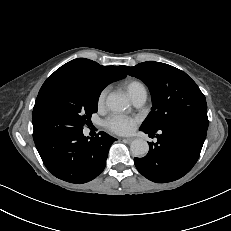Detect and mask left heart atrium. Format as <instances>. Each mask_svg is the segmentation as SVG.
<instances>
[{"instance_id":"left-heart-atrium-1","label":"left heart atrium","mask_w":231,"mask_h":231,"mask_svg":"<svg viewBox=\"0 0 231 231\" xmlns=\"http://www.w3.org/2000/svg\"><path fill=\"white\" fill-rule=\"evenodd\" d=\"M136 124L134 118L124 115H112L106 121V127L117 134L130 133Z\"/></svg>"}]
</instances>
